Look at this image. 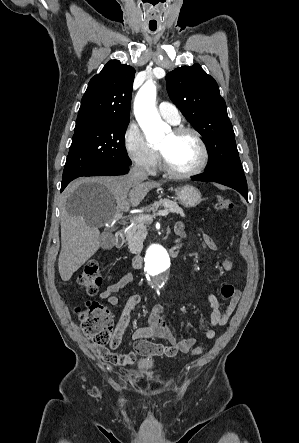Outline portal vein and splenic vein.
Instances as JSON below:
<instances>
[{
  "label": "portal vein and splenic vein",
  "mask_w": 299,
  "mask_h": 443,
  "mask_svg": "<svg viewBox=\"0 0 299 443\" xmlns=\"http://www.w3.org/2000/svg\"><path fill=\"white\" fill-rule=\"evenodd\" d=\"M169 214V212L167 210H161L157 213H154L153 215H147V216H142V217H136L135 219H144V220H149L151 221L153 219V217L155 216H167ZM122 214L118 213L114 216L113 220H118L121 219Z\"/></svg>",
  "instance_id": "portal-vein-and-splenic-vein-1"
}]
</instances>
